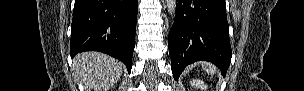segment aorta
Here are the masks:
<instances>
[{
    "instance_id": "aorta-1",
    "label": "aorta",
    "mask_w": 304,
    "mask_h": 91,
    "mask_svg": "<svg viewBox=\"0 0 304 91\" xmlns=\"http://www.w3.org/2000/svg\"><path fill=\"white\" fill-rule=\"evenodd\" d=\"M176 0H166V6L169 14L174 17L176 12Z\"/></svg>"
}]
</instances>
